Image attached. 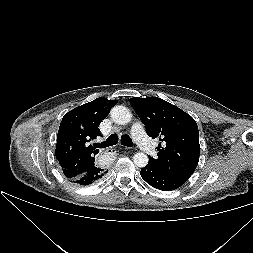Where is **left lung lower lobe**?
Instances as JSON below:
<instances>
[{"instance_id": "left-lung-lower-lobe-1", "label": "left lung lower lobe", "mask_w": 253, "mask_h": 253, "mask_svg": "<svg viewBox=\"0 0 253 253\" xmlns=\"http://www.w3.org/2000/svg\"><path fill=\"white\" fill-rule=\"evenodd\" d=\"M142 178L152 187L162 190L171 191L179 188L184 182L165 173L152 163H148L141 172Z\"/></svg>"}]
</instances>
